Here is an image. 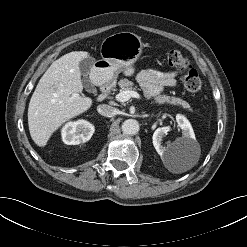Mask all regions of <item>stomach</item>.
I'll return each mask as SVG.
<instances>
[{
    "mask_svg": "<svg viewBox=\"0 0 247 247\" xmlns=\"http://www.w3.org/2000/svg\"><path fill=\"white\" fill-rule=\"evenodd\" d=\"M143 49L141 38L132 32H119L105 38L100 47L102 59L95 62L93 74L101 81L117 77L120 72L130 76L133 64Z\"/></svg>",
    "mask_w": 247,
    "mask_h": 247,
    "instance_id": "obj_1",
    "label": "stomach"
}]
</instances>
